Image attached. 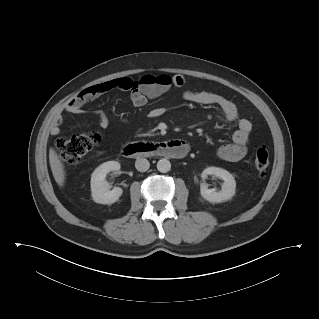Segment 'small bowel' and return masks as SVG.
Here are the masks:
<instances>
[{
	"instance_id": "1",
	"label": "small bowel",
	"mask_w": 319,
	"mask_h": 319,
	"mask_svg": "<svg viewBox=\"0 0 319 319\" xmlns=\"http://www.w3.org/2000/svg\"><path fill=\"white\" fill-rule=\"evenodd\" d=\"M128 78L112 79L97 85L90 86L82 90L77 96L70 99L64 106V112L70 114H82L83 107L86 103L98 98L104 93L113 88H119V85ZM171 84L165 89L145 94L140 91H133L130 93V99L135 106L141 107L147 104L149 99L155 98L166 92L170 86L176 88H183L185 86V79L182 75H174L171 78ZM183 97L191 102L200 105L215 106L220 111V118L229 124H235L236 130L233 133L232 143L222 145L217 150L219 158L226 161H239L247 154V145L252 131V124L245 118H239L238 110L235 104L226 97L208 91H195L186 89L183 91ZM162 114L161 108H153L149 115L151 118H156ZM95 118L101 128H107L109 125L108 116L102 111L95 112ZM60 121L58 116L56 122L51 128L52 135L60 133Z\"/></svg>"
}]
</instances>
